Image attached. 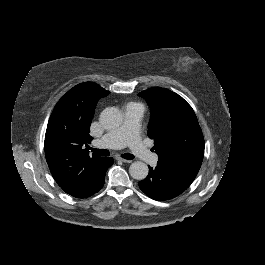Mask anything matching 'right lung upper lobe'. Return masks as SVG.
I'll list each match as a JSON object with an SVG mask.
<instances>
[{"label": "right lung upper lobe", "instance_id": "obj_1", "mask_svg": "<svg viewBox=\"0 0 265 265\" xmlns=\"http://www.w3.org/2000/svg\"><path fill=\"white\" fill-rule=\"evenodd\" d=\"M108 91L94 82L70 89L56 104L45 134V157L57 184L68 194L92 187L105 170L106 158L89 155L95 107ZM83 147V148H82Z\"/></svg>", "mask_w": 265, "mask_h": 265}]
</instances>
